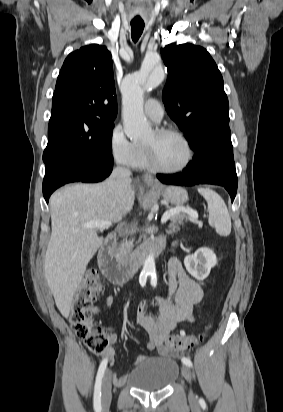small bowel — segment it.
<instances>
[{
	"mask_svg": "<svg viewBox=\"0 0 283 412\" xmlns=\"http://www.w3.org/2000/svg\"><path fill=\"white\" fill-rule=\"evenodd\" d=\"M174 297V301L172 300ZM203 290L201 286L192 279L183 268L177 258H172L167 266L165 288L163 294L157 298V315L154 317L148 312L149 303L142 301L137 307V323L148 333L147 349L156 351L160 356L172 357L176 352L170 351L163 346L165 338L180 323L190 322L194 318V307L202 300ZM114 297L110 294L104 296L103 303L92 308L94 314H100L112 305ZM118 336L110 334L109 347L105 355L113 362L115 355V344ZM147 356H139L135 364H141L147 360ZM114 383L123 385L126 380L124 374L113 375Z\"/></svg>",
	"mask_w": 283,
	"mask_h": 412,
	"instance_id": "obj_1",
	"label": "small bowel"
}]
</instances>
